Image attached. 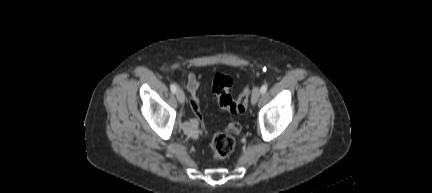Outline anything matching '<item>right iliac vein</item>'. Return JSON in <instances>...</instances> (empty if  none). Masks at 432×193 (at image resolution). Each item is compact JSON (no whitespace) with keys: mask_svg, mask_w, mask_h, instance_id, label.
Masks as SVG:
<instances>
[{"mask_svg":"<svg viewBox=\"0 0 432 193\" xmlns=\"http://www.w3.org/2000/svg\"><path fill=\"white\" fill-rule=\"evenodd\" d=\"M176 97H177V100H178V102L180 104L184 103V101H185V95H184V92L181 89L177 90Z\"/></svg>","mask_w":432,"mask_h":193,"instance_id":"obj_1","label":"right iliac vein"}]
</instances>
